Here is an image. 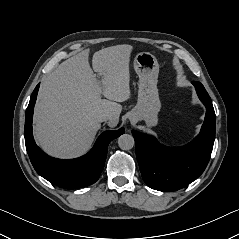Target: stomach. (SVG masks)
<instances>
[{
	"label": "stomach",
	"mask_w": 239,
	"mask_h": 239,
	"mask_svg": "<svg viewBox=\"0 0 239 239\" xmlns=\"http://www.w3.org/2000/svg\"><path fill=\"white\" fill-rule=\"evenodd\" d=\"M134 69L139 76L138 101L130 111V120H144L148 127L157 125L161 102L157 88L159 64L149 52L138 53L134 58Z\"/></svg>",
	"instance_id": "stomach-1"
}]
</instances>
